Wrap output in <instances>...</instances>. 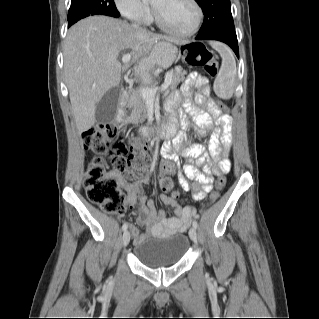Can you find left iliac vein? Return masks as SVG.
<instances>
[{
  "mask_svg": "<svg viewBox=\"0 0 319 319\" xmlns=\"http://www.w3.org/2000/svg\"><path fill=\"white\" fill-rule=\"evenodd\" d=\"M189 236L191 238L192 241L196 242L197 241V232L195 228H191L189 230Z\"/></svg>",
  "mask_w": 319,
  "mask_h": 319,
  "instance_id": "4c4485c4",
  "label": "left iliac vein"
}]
</instances>
